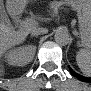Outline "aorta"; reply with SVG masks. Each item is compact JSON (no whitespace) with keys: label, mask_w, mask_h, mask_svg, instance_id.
Returning a JSON list of instances; mask_svg holds the SVG:
<instances>
[{"label":"aorta","mask_w":91,"mask_h":91,"mask_svg":"<svg viewBox=\"0 0 91 91\" xmlns=\"http://www.w3.org/2000/svg\"><path fill=\"white\" fill-rule=\"evenodd\" d=\"M54 39L57 43L65 45L69 41L68 31L64 27H58L55 30Z\"/></svg>","instance_id":"obj_1"}]
</instances>
